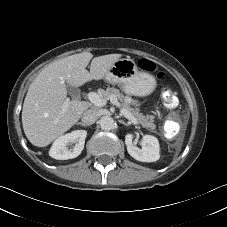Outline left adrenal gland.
<instances>
[{
  "label": "left adrenal gland",
  "mask_w": 227,
  "mask_h": 227,
  "mask_svg": "<svg viewBox=\"0 0 227 227\" xmlns=\"http://www.w3.org/2000/svg\"><path fill=\"white\" fill-rule=\"evenodd\" d=\"M120 123L124 124L125 126H128L129 124L124 122L123 120H119Z\"/></svg>",
  "instance_id": "left-adrenal-gland-1"
}]
</instances>
